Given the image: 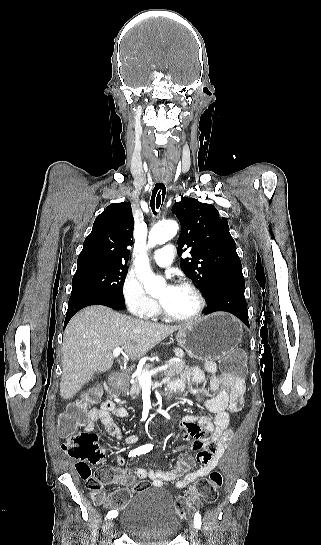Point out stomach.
Masks as SVG:
<instances>
[{
	"mask_svg": "<svg viewBox=\"0 0 321 545\" xmlns=\"http://www.w3.org/2000/svg\"><path fill=\"white\" fill-rule=\"evenodd\" d=\"M242 337V325L236 317L230 313H212L183 325L176 341L193 359H221L238 347Z\"/></svg>",
	"mask_w": 321,
	"mask_h": 545,
	"instance_id": "obj_1",
	"label": "stomach"
}]
</instances>
